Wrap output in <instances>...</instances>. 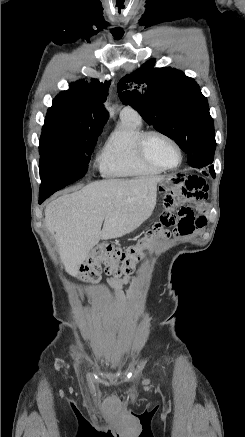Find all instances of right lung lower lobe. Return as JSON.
I'll return each instance as SVG.
<instances>
[{"label": "right lung lower lobe", "mask_w": 245, "mask_h": 437, "mask_svg": "<svg viewBox=\"0 0 245 437\" xmlns=\"http://www.w3.org/2000/svg\"><path fill=\"white\" fill-rule=\"evenodd\" d=\"M79 178L62 176V177H48L42 180L39 192V204H41L45 199H47L54 192L60 190L61 188L75 182Z\"/></svg>", "instance_id": "obj_1"}]
</instances>
